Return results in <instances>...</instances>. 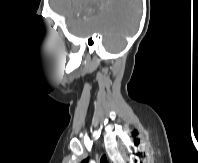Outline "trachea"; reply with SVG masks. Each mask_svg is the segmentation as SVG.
Instances as JSON below:
<instances>
[{
    "mask_svg": "<svg viewBox=\"0 0 198 163\" xmlns=\"http://www.w3.org/2000/svg\"><path fill=\"white\" fill-rule=\"evenodd\" d=\"M100 162H101V163H108L107 158H106V156H105V155H104V156H102V158H101Z\"/></svg>",
    "mask_w": 198,
    "mask_h": 163,
    "instance_id": "trachea-1",
    "label": "trachea"
}]
</instances>
